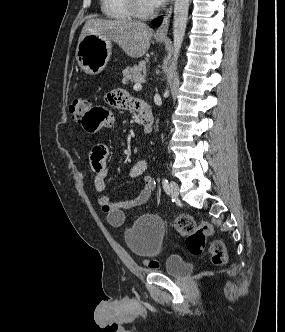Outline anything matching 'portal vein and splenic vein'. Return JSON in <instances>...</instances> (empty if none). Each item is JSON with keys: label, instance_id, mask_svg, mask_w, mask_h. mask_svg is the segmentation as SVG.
<instances>
[{"label": "portal vein and splenic vein", "instance_id": "1", "mask_svg": "<svg viewBox=\"0 0 285 332\" xmlns=\"http://www.w3.org/2000/svg\"><path fill=\"white\" fill-rule=\"evenodd\" d=\"M144 79H141L139 82H137L135 85H134V90L138 91V90H141L142 89V85H141V82H143Z\"/></svg>", "mask_w": 285, "mask_h": 332}]
</instances>
